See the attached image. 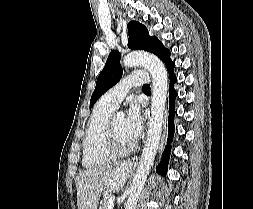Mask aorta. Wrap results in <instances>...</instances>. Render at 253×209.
<instances>
[{"label":"aorta","mask_w":253,"mask_h":209,"mask_svg":"<svg viewBox=\"0 0 253 209\" xmlns=\"http://www.w3.org/2000/svg\"><path fill=\"white\" fill-rule=\"evenodd\" d=\"M123 65L125 67L143 66L150 72L153 79L151 117L147 139L125 204V209H135L159 147L168 90V76L164 64L156 56L144 52L126 55L123 58Z\"/></svg>","instance_id":"obj_1"}]
</instances>
